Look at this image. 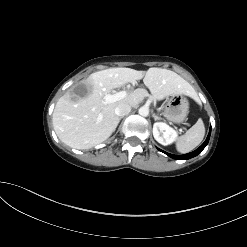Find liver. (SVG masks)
Listing matches in <instances>:
<instances>
[{"label":"liver","mask_w":247,"mask_h":247,"mask_svg":"<svg viewBox=\"0 0 247 247\" xmlns=\"http://www.w3.org/2000/svg\"><path fill=\"white\" fill-rule=\"evenodd\" d=\"M143 78L154 100L170 95L195 96L192 86L175 72L162 68L137 71L131 68H109L92 73L85 85L88 93L75 97L67 91L56 103L53 112V127L59 139L70 147L89 149L108 139L115 131L119 117L115 108L120 103L137 106L148 96L147 90L138 88L124 99L104 104V97L126 83L134 84Z\"/></svg>","instance_id":"6515ba94"}]
</instances>
